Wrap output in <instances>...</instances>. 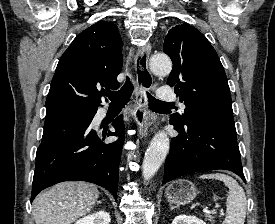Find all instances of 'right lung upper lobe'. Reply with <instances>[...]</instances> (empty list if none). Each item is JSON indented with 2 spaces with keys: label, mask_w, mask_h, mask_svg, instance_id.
Wrapping results in <instances>:
<instances>
[{
  "label": "right lung upper lobe",
  "mask_w": 275,
  "mask_h": 224,
  "mask_svg": "<svg viewBox=\"0 0 275 224\" xmlns=\"http://www.w3.org/2000/svg\"><path fill=\"white\" fill-rule=\"evenodd\" d=\"M122 41L115 24L99 21L81 32L60 58L46 100V113L96 109L103 88L117 89Z\"/></svg>",
  "instance_id": "right-lung-upper-lobe-1"
}]
</instances>
